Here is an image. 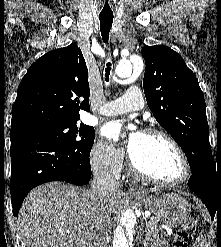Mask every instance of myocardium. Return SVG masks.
Listing matches in <instances>:
<instances>
[{
    "mask_svg": "<svg viewBox=\"0 0 221 247\" xmlns=\"http://www.w3.org/2000/svg\"><path fill=\"white\" fill-rule=\"evenodd\" d=\"M142 134H145L147 136H153V137H159L165 141H167L169 144H171L174 149L177 151V153L179 154L182 164H183V170H184V175L181 179L176 180V181H166V180H162L158 177L153 176L152 174L144 171L134 160V158L132 157L131 153H128V163H129V167L131 172L145 180L148 182H153L159 185H163V186H180V185H184L186 184L190 178H191V165L190 162L188 160V157L185 153V151L183 150V148L181 147V145L167 132L163 131V130H159V129H154V128H146L144 130L141 131Z\"/></svg>",
    "mask_w": 221,
    "mask_h": 247,
    "instance_id": "myocardium-1",
    "label": "myocardium"
}]
</instances>
